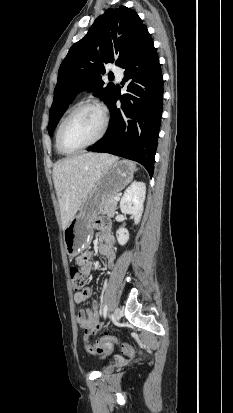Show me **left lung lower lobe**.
Masks as SVG:
<instances>
[{"label":"left lung lower lobe","instance_id":"1","mask_svg":"<svg viewBox=\"0 0 233 413\" xmlns=\"http://www.w3.org/2000/svg\"><path fill=\"white\" fill-rule=\"evenodd\" d=\"M127 93L114 92L105 135L88 151L106 152L141 163L152 177L163 107V77L153 40L147 33L120 66ZM121 101V108L116 101Z\"/></svg>","mask_w":233,"mask_h":413}]
</instances>
